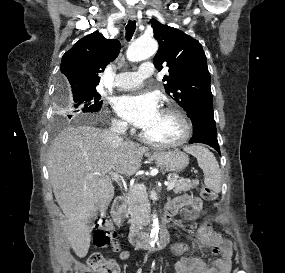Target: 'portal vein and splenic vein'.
Instances as JSON below:
<instances>
[{
	"instance_id": "18ae733b",
	"label": "portal vein and splenic vein",
	"mask_w": 285,
	"mask_h": 273,
	"mask_svg": "<svg viewBox=\"0 0 285 273\" xmlns=\"http://www.w3.org/2000/svg\"><path fill=\"white\" fill-rule=\"evenodd\" d=\"M94 174H100V173H94ZM108 175L112 178V180H115V181H118L119 180V177L120 175L117 173V172H113V171H110L108 172ZM174 185H175V182H171L168 186H167V191H170L174 188ZM134 188H137V189H141V190H144L146 191V187L141 184V185H138V186H135Z\"/></svg>"
}]
</instances>
